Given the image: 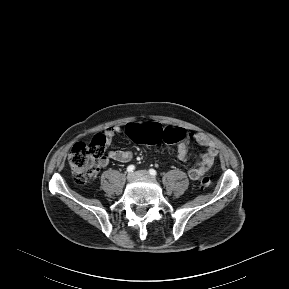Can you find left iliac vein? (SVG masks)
I'll return each mask as SVG.
<instances>
[{
    "instance_id": "1",
    "label": "left iliac vein",
    "mask_w": 289,
    "mask_h": 289,
    "mask_svg": "<svg viewBox=\"0 0 289 289\" xmlns=\"http://www.w3.org/2000/svg\"><path fill=\"white\" fill-rule=\"evenodd\" d=\"M136 176L139 177V178L144 177V178H149V179L154 180V177H152V176L149 174V172L146 171V170H139V171H137V172H136Z\"/></svg>"
}]
</instances>
